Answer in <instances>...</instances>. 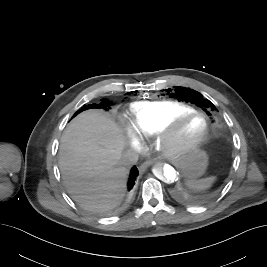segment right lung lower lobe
Returning <instances> with one entry per match:
<instances>
[{"label": "right lung lower lobe", "instance_id": "right-lung-lower-lobe-1", "mask_svg": "<svg viewBox=\"0 0 267 267\" xmlns=\"http://www.w3.org/2000/svg\"><path fill=\"white\" fill-rule=\"evenodd\" d=\"M138 174H139L138 169L136 168V166H134L130 172V177L128 181V190H131L135 185V179L138 176Z\"/></svg>", "mask_w": 267, "mask_h": 267}]
</instances>
